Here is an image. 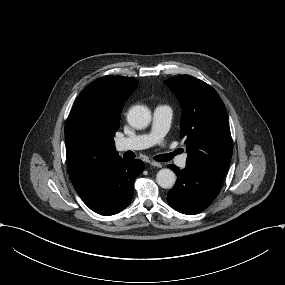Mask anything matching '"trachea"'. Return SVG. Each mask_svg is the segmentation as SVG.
Returning a JSON list of instances; mask_svg holds the SVG:
<instances>
[{"instance_id":"obj_1","label":"trachea","mask_w":285,"mask_h":285,"mask_svg":"<svg viewBox=\"0 0 285 285\" xmlns=\"http://www.w3.org/2000/svg\"><path fill=\"white\" fill-rule=\"evenodd\" d=\"M174 155H175L174 152L169 153V154H160V155L155 156L153 159L158 162H167L171 160Z\"/></svg>"}]
</instances>
